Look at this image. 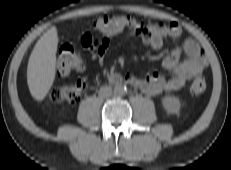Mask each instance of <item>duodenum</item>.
<instances>
[{
  "instance_id": "410a0bca",
  "label": "duodenum",
  "mask_w": 231,
  "mask_h": 170,
  "mask_svg": "<svg viewBox=\"0 0 231 170\" xmlns=\"http://www.w3.org/2000/svg\"><path fill=\"white\" fill-rule=\"evenodd\" d=\"M113 82H114L115 84H121V83L123 82V80H122L119 76H115V77L113 78Z\"/></svg>"
}]
</instances>
